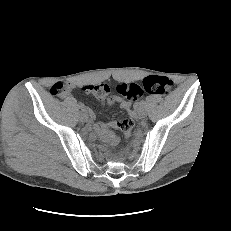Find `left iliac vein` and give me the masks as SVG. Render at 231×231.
Here are the masks:
<instances>
[{"label": "left iliac vein", "mask_w": 231, "mask_h": 231, "mask_svg": "<svg viewBox=\"0 0 231 231\" xmlns=\"http://www.w3.org/2000/svg\"><path fill=\"white\" fill-rule=\"evenodd\" d=\"M138 113L140 118H144L147 115L146 110L144 108H140Z\"/></svg>", "instance_id": "4c4485c4"}]
</instances>
